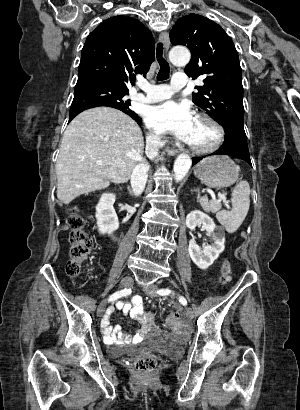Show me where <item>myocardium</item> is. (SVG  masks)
Segmentation results:
<instances>
[{"label":"myocardium","mask_w":300,"mask_h":410,"mask_svg":"<svg viewBox=\"0 0 300 410\" xmlns=\"http://www.w3.org/2000/svg\"><path fill=\"white\" fill-rule=\"evenodd\" d=\"M197 119L205 121L212 125L217 132V139L213 144L207 147H197L188 143L190 150L198 154H208L218 150L223 145L226 139V131L223 125L217 119L205 113L198 114Z\"/></svg>","instance_id":"f54148a6"}]
</instances>
